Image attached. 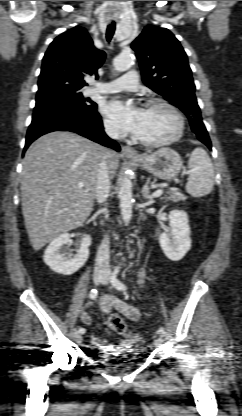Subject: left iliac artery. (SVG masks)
<instances>
[{"mask_svg":"<svg viewBox=\"0 0 242 416\" xmlns=\"http://www.w3.org/2000/svg\"><path fill=\"white\" fill-rule=\"evenodd\" d=\"M118 273H119V268H116L111 276V283L117 290L124 291L126 290L127 287L117 278ZM158 332L162 336L165 334V331L163 328H159Z\"/></svg>","mask_w":242,"mask_h":416,"instance_id":"44dca946","label":"left iliac artery"}]
</instances>
